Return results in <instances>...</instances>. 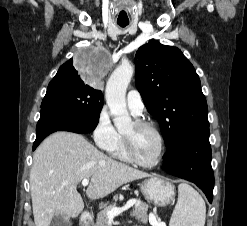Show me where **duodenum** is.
Segmentation results:
<instances>
[{
	"instance_id": "obj_1",
	"label": "duodenum",
	"mask_w": 247,
	"mask_h": 226,
	"mask_svg": "<svg viewBox=\"0 0 247 226\" xmlns=\"http://www.w3.org/2000/svg\"><path fill=\"white\" fill-rule=\"evenodd\" d=\"M82 218H83V224H82V226H87L88 225V222H89V214L88 213H84L83 214V216H82Z\"/></svg>"
}]
</instances>
